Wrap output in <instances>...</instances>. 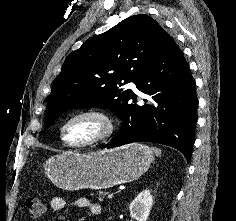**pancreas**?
<instances>
[{
	"label": "pancreas",
	"instance_id": "1",
	"mask_svg": "<svg viewBox=\"0 0 236 221\" xmlns=\"http://www.w3.org/2000/svg\"><path fill=\"white\" fill-rule=\"evenodd\" d=\"M106 192H99V199L102 200Z\"/></svg>",
	"mask_w": 236,
	"mask_h": 221
}]
</instances>
